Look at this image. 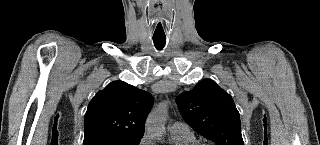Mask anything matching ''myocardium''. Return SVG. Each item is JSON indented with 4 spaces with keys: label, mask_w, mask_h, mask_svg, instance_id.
<instances>
[{
    "label": "myocardium",
    "mask_w": 320,
    "mask_h": 145,
    "mask_svg": "<svg viewBox=\"0 0 320 145\" xmlns=\"http://www.w3.org/2000/svg\"><path fill=\"white\" fill-rule=\"evenodd\" d=\"M194 145H205V144H200V143H197V144H194Z\"/></svg>",
    "instance_id": "obj_1"
}]
</instances>
